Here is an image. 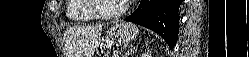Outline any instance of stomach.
I'll use <instances>...</instances> for the list:
<instances>
[{
	"instance_id": "stomach-1",
	"label": "stomach",
	"mask_w": 249,
	"mask_h": 57,
	"mask_svg": "<svg viewBox=\"0 0 249 57\" xmlns=\"http://www.w3.org/2000/svg\"><path fill=\"white\" fill-rule=\"evenodd\" d=\"M107 34L112 41L123 45L137 37L138 29L131 23L121 22L112 25Z\"/></svg>"
}]
</instances>
